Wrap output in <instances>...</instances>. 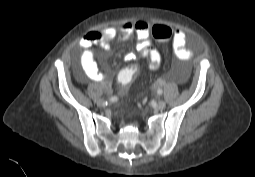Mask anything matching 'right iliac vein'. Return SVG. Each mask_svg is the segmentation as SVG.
I'll return each mask as SVG.
<instances>
[{
	"mask_svg": "<svg viewBox=\"0 0 255 177\" xmlns=\"http://www.w3.org/2000/svg\"><path fill=\"white\" fill-rule=\"evenodd\" d=\"M104 103H105V101H104L103 99H98V100H97V105H98V106H103Z\"/></svg>",
	"mask_w": 255,
	"mask_h": 177,
	"instance_id": "1",
	"label": "right iliac vein"
}]
</instances>
